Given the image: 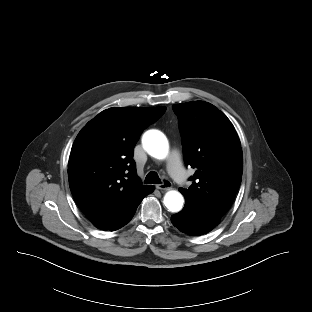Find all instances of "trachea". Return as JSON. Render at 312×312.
I'll return each mask as SVG.
<instances>
[{"mask_svg":"<svg viewBox=\"0 0 312 312\" xmlns=\"http://www.w3.org/2000/svg\"><path fill=\"white\" fill-rule=\"evenodd\" d=\"M145 183L147 184H160L161 180L158 176V174L154 171H151L147 174L145 178Z\"/></svg>","mask_w":312,"mask_h":312,"instance_id":"1","label":"trachea"}]
</instances>
